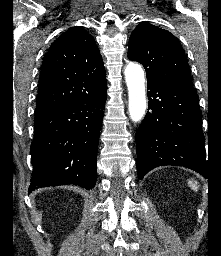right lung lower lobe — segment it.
<instances>
[{
  "instance_id": "98d812e1",
  "label": "right lung lower lobe",
  "mask_w": 221,
  "mask_h": 256,
  "mask_svg": "<svg viewBox=\"0 0 221 256\" xmlns=\"http://www.w3.org/2000/svg\"><path fill=\"white\" fill-rule=\"evenodd\" d=\"M106 96L105 88L35 115L29 192L71 183L87 190L95 186Z\"/></svg>"
}]
</instances>
